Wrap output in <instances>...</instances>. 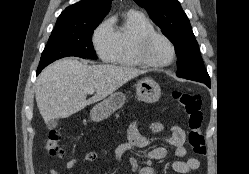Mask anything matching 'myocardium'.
<instances>
[{"mask_svg":"<svg viewBox=\"0 0 249 174\" xmlns=\"http://www.w3.org/2000/svg\"><path fill=\"white\" fill-rule=\"evenodd\" d=\"M157 39L164 40L171 49V57L167 61H159L154 59L150 55V48L154 41ZM135 53L142 63L152 68H163L169 66L176 58V47L173 41L166 36L157 31H152L143 34L139 39L135 47Z\"/></svg>","mask_w":249,"mask_h":174,"instance_id":"1","label":"myocardium"}]
</instances>
